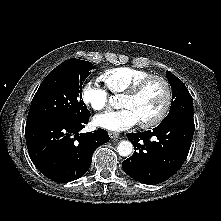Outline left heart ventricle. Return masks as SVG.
<instances>
[{
	"instance_id": "1",
	"label": "left heart ventricle",
	"mask_w": 221,
	"mask_h": 221,
	"mask_svg": "<svg viewBox=\"0 0 221 221\" xmlns=\"http://www.w3.org/2000/svg\"><path fill=\"white\" fill-rule=\"evenodd\" d=\"M166 92L164 85L157 80L149 82L141 93L134 97H122L120 106L133 111L139 122L155 117L165 102Z\"/></svg>"
}]
</instances>
